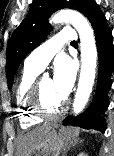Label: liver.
Listing matches in <instances>:
<instances>
[{
  "label": "liver",
  "instance_id": "1",
  "mask_svg": "<svg viewBox=\"0 0 114 156\" xmlns=\"http://www.w3.org/2000/svg\"><path fill=\"white\" fill-rule=\"evenodd\" d=\"M51 125L43 124L19 137L16 147V156H29L43 141Z\"/></svg>",
  "mask_w": 114,
  "mask_h": 156
}]
</instances>
